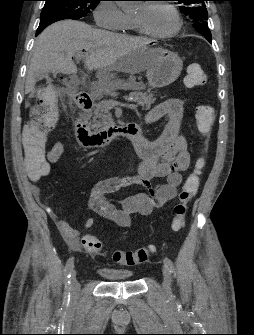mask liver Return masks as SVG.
I'll return each instance as SVG.
<instances>
[{
	"label": "liver",
	"instance_id": "6515ba94",
	"mask_svg": "<svg viewBox=\"0 0 254 335\" xmlns=\"http://www.w3.org/2000/svg\"><path fill=\"white\" fill-rule=\"evenodd\" d=\"M149 43L147 39L96 29L80 21L56 22L35 42L25 92L34 97L36 79L41 73H76L72 57L83 50L85 68L96 70L99 83L112 88L118 84L114 72L137 74L152 65Z\"/></svg>",
	"mask_w": 254,
	"mask_h": 335
}]
</instances>
